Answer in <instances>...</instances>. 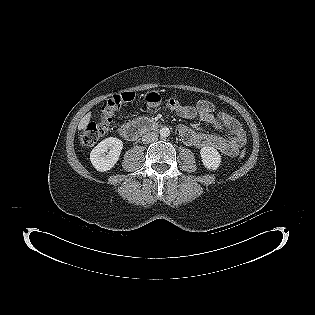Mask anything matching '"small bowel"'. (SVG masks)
<instances>
[{
  "label": "small bowel",
  "instance_id": "small-bowel-1",
  "mask_svg": "<svg viewBox=\"0 0 315 315\" xmlns=\"http://www.w3.org/2000/svg\"><path fill=\"white\" fill-rule=\"evenodd\" d=\"M171 110L182 118L198 117L225 133L224 136L213 135L199 132L186 125H180L178 133L186 145L198 148L211 146L224 155L236 156L237 150L245 144V133L239 121L227 112L216 111L214 104L210 101L200 100L195 105H182Z\"/></svg>",
  "mask_w": 315,
  "mask_h": 315
}]
</instances>
